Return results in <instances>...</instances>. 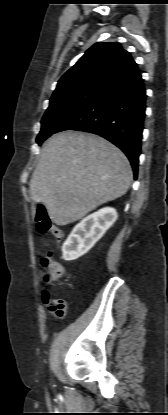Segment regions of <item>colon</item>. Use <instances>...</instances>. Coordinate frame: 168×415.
<instances>
[{"label": "colon", "mask_w": 168, "mask_h": 415, "mask_svg": "<svg viewBox=\"0 0 168 415\" xmlns=\"http://www.w3.org/2000/svg\"><path fill=\"white\" fill-rule=\"evenodd\" d=\"M35 221L39 233L51 234L58 242L63 239L62 230L52 223L44 207L40 206L38 208ZM42 265L46 269L44 279L47 283L58 281L63 277L64 271L62 266L50 256L46 255L42 258Z\"/></svg>", "instance_id": "1"}]
</instances>
